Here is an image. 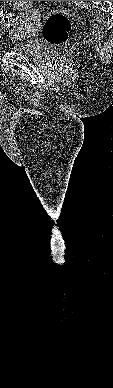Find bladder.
<instances>
[{
	"label": "bladder",
	"mask_w": 113,
	"mask_h": 388,
	"mask_svg": "<svg viewBox=\"0 0 113 388\" xmlns=\"http://www.w3.org/2000/svg\"><path fill=\"white\" fill-rule=\"evenodd\" d=\"M16 29L18 33L15 35L18 38L29 37L38 27V16L29 13L28 20L25 22L17 21ZM14 51L20 52L31 58H42L48 51V46L41 44L35 40H26L21 44L12 46Z\"/></svg>",
	"instance_id": "bladder-1"
}]
</instances>
